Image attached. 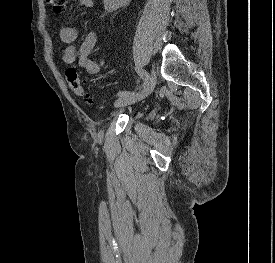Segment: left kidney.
Listing matches in <instances>:
<instances>
[{"label": "left kidney", "instance_id": "5707ae66", "mask_svg": "<svg viewBox=\"0 0 275 263\" xmlns=\"http://www.w3.org/2000/svg\"><path fill=\"white\" fill-rule=\"evenodd\" d=\"M131 0H103L106 11L113 12Z\"/></svg>", "mask_w": 275, "mask_h": 263}]
</instances>
